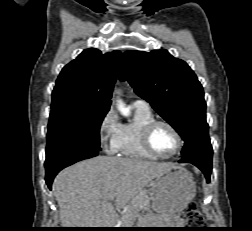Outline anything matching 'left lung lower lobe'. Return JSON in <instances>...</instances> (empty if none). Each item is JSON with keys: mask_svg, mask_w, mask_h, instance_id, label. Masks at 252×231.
<instances>
[{"mask_svg": "<svg viewBox=\"0 0 252 231\" xmlns=\"http://www.w3.org/2000/svg\"><path fill=\"white\" fill-rule=\"evenodd\" d=\"M212 155V148L198 150L183 156L179 162L191 163L197 166L205 174L207 180H209L212 171Z\"/></svg>", "mask_w": 252, "mask_h": 231, "instance_id": "left-lung-lower-lobe-1", "label": "left lung lower lobe"}]
</instances>
